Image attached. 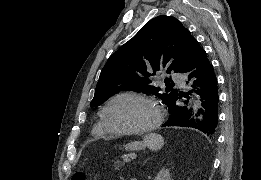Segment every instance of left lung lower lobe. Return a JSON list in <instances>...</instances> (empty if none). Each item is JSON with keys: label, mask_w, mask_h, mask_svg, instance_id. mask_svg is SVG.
<instances>
[{"label": "left lung lower lobe", "mask_w": 261, "mask_h": 180, "mask_svg": "<svg viewBox=\"0 0 261 180\" xmlns=\"http://www.w3.org/2000/svg\"><path fill=\"white\" fill-rule=\"evenodd\" d=\"M181 73L187 76V83H191V87L196 89L194 92L199 95L202 108L197 110L196 113L202 114V118L190 119L189 115L192 113V110L177 104L180 98H183V102L188 104L189 95L192 92H188L185 95L182 92H177L169 105H167L170 116L163 126L191 127L202 131L206 135L213 134L218 125V84L213 65L199 44L195 46L192 56Z\"/></svg>", "instance_id": "0a47b994"}]
</instances>
